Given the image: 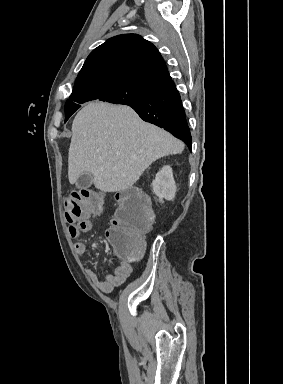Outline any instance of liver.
Wrapping results in <instances>:
<instances>
[{"label":"liver","mask_w":283,"mask_h":384,"mask_svg":"<svg viewBox=\"0 0 283 384\" xmlns=\"http://www.w3.org/2000/svg\"><path fill=\"white\" fill-rule=\"evenodd\" d=\"M68 156V180L92 174L102 192L131 188L153 162L182 154L185 144L147 124L129 106L89 102L75 116Z\"/></svg>","instance_id":"6515ba94"}]
</instances>
